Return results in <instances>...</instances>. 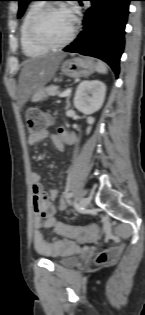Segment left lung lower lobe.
I'll use <instances>...</instances> for the list:
<instances>
[{"instance_id":"obj_1","label":"left lung lower lobe","mask_w":145,"mask_h":315,"mask_svg":"<svg viewBox=\"0 0 145 315\" xmlns=\"http://www.w3.org/2000/svg\"><path fill=\"white\" fill-rule=\"evenodd\" d=\"M88 1H91L92 6L85 10L82 31L63 50L102 59L118 76L131 0Z\"/></svg>"}]
</instances>
